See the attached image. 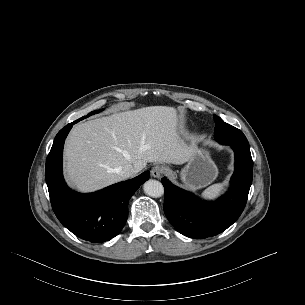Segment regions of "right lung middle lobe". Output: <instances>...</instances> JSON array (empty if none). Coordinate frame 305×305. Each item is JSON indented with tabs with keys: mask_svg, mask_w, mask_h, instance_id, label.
Masks as SVG:
<instances>
[{
	"mask_svg": "<svg viewBox=\"0 0 305 305\" xmlns=\"http://www.w3.org/2000/svg\"><path fill=\"white\" fill-rule=\"evenodd\" d=\"M101 110H96V111H92L91 113H89L87 116H84V117H82L83 119L84 118H87V117H89V116H91V115H93V114H96V113H98V112H100Z\"/></svg>",
	"mask_w": 305,
	"mask_h": 305,
	"instance_id": "1",
	"label": "right lung middle lobe"
}]
</instances>
